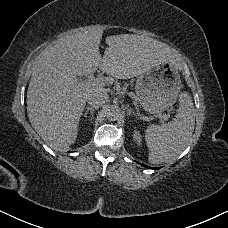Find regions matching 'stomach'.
I'll list each match as a JSON object with an SVG mask.
<instances>
[{"instance_id": "obj_1", "label": "stomach", "mask_w": 228, "mask_h": 228, "mask_svg": "<svg viewBox=\"0 0 228 228\" xmlns=\"http://www.w3.org/2000/svg\"><path fill=\"white\" fill-rule=\"evenodd\" d=\"M181 88L178 69L161 64L138 76L135 92L142 109L147 114L157 115L176 103Z\"/></svg>"}]
</instances>
